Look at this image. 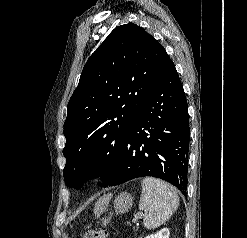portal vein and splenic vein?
Here are the masks:
<instances>
[{"instance_id": "obj_1", "label": "portal vein and splenic vein", "mask_w": 247, "mask_h": 238, "mask_svg": "<svg viewBox=\"0 0 247 238\" xmlns=\"http://www.w3.org/2000/svg\"><path fill=\"white\" fill-rule=\"evenodd\" d=\"M141 216L140 215H138L136 218H140Z\"/></svg>"}]
</instances>
